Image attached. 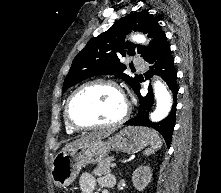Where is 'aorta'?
Listing matches in <instances>:
<instances>
[{"label":"aorta","mask_w":221,"mask_h":193,"mask_svg":"<svg viewBox=\"0 0 221 193\" xmlns=\"http://www.w3.org/2000/svg\"><path fill=\"white\" fill-rule=\"evenodd\" d=\"M132 39L138 43H144L146 40L142 35H135ZM154 94L157 104L155 111L150 115V119L153 122H158L169 114L172 107V99L164 84L159 81L154 84Z\"/></svg>","instance_id":"obj_1"}]
</instances>
